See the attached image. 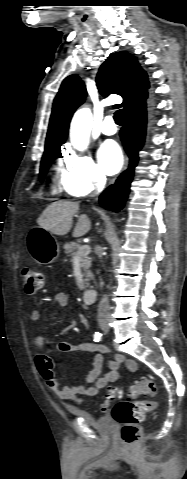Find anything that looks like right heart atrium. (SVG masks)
<instances>
[{"mask_svg": "<svg viewBox=\"0 0 187 479\" xmlns=\"http://www.w3.org/2000/svg\"><path fill=\"white\" fill-rule=\"evenodd\" d=\"M63 191L71 197H85L100 191L107 177L89 154L72 150L63 153L57 167Z\"/></svg>", "mask_w": 187, "mask_h": 479, "instance_id": "right-heart-atrium-1", "label": "right heart atrium"}]
</instances>
